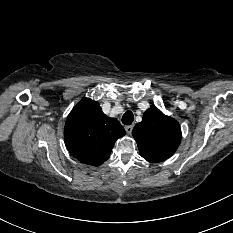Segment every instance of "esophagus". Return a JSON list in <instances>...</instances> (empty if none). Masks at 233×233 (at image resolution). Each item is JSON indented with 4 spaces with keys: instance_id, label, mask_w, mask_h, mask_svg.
Masks as SVG:
<instances>
[{
    "instance_id": "34e87169",
    "label": "esophagus",
    "mask_w": 233,
    "mask_h": 233,
    "mask_svg": "<svg viewBox=\"0 0 233 233\" xmlns=\"http://www.w3.org/2000/svg\"><path fill=\"white\" fill-rule=\"evenodd\" d=\"M125 130L128 134H131L132 130H133V125H128L125 127Z\"/></svg>"
}]
</instances>
